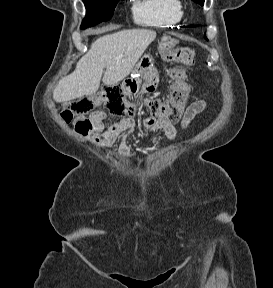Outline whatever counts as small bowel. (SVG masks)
I'll use <instances>...</instances> for the list:
<instances>
[{
	"label": "small bowel",
	"instance_id": "obj_1",
	"mask_svg": "<svg viewBox=\"0 0 273 288\" xmlns=\"http://www.w3.org/2000/svg\"><path fill=\"white\" fill-rule=\"evenodd\" d=\"M206 109L207 104L204 100H196L192 102L184 112L180 124L181 128L186 129L193 121V119L197 115L205 112ZM134 115L127 118H122L109 128H106L101 120H97L94 129L88 135L89 139L99 146H110L115 143L119 135H123L121 144L125 150V154H128L127 138L135 130L136 127V122L133 118ZM143 124L145 129L150 133L163 131L169 139H174L176 136V129L170 122L159 120L153 117H146L143 120Z\"/></svg>",
	"mask_w": 273,
	"mask_h": 288
}]
</instances>
